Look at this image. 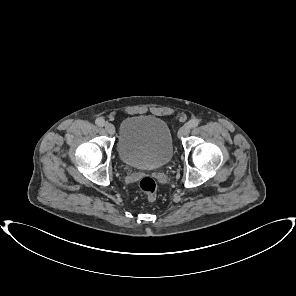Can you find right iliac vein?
<instances>
[{"label": "right iliac vein", "mask_w": 296, "mask_h": 296, "mask_svg": "<svg viewBox=\"0 0 296 296\" xmlns=\"http://www.w3.org/2000/svg\"><path fill=\"white\" fill-rule=\"evenodd\" d=\"M105 130L111 135L115 133V127L111 123L105 124Z\"/></svg>", "instance_id": "63e3f726"}]
</instances>
